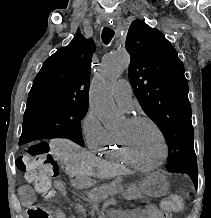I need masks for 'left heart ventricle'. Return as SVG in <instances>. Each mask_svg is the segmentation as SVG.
<instances>
[{"instance_id": "obj_1", "label": "left heart ventricle", "mask_w": 211, "mask_h": 218, "mask_svg": "<svg viewBox=\"0 0 211 218\" xmlns=\"http://www.w3.org/2000/svg\"><path fill=\"white\" fill-rule=\"evenodd\" d=\"M133 155L148 164L157 163L162 157V146L157 131L147 122L131 124L126 120L120 129Z\"/></svg>"}]
</instances>
